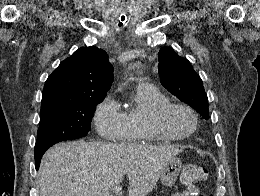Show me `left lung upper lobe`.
Wrapping results in <instances>:
<instances>
[{
    "label": "left lung upper lobe",
    "mask_w": 260,
    "mask_h": 196,
    "mask_svg": "<svg viewBox=\"0 0 260 196\" xmlns=\"http://www.w3.org/2000/svg\"><path fill=\"white\" fill-rule=\"evenodd\" d=\"M159 61L161 84L194 108L203 118L209 119L208 98L203 82L190 62L169 47L160 50Z\"/></svg>",
    "instance_id": "5c2ea615"
}]
</instances>
